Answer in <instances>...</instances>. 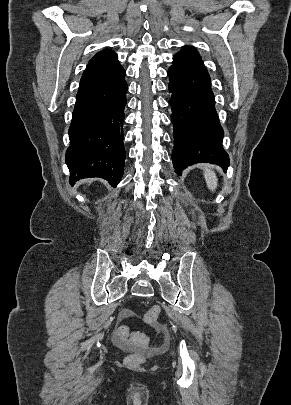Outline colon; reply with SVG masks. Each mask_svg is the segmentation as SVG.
<instances>
[{"mask_svg":"<svg viewBox=\"0 0 291 405\" xmlns=\"http://www.w3.org/2000/svg\"><path fill=\"white\" fill-rule=\"evenodd\" d=\"M161 313L159 306L151 307L144 315V321L147 324L153 325L157 322ZM115 337L125 343L145 347L148 344V339L145 335L137 332H131L126 325H121L115 332ZM126 362L130 366H137L144 362V356L139 353L131 354L127 357Z\"/></svg>","mask_w":291,"mask_h":405,"instance_id":"obj_1","label":"colon"}]
</instances>
